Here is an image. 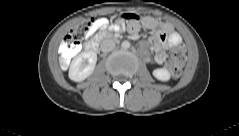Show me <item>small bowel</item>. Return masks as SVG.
<instances>
[{"label":"small bowel","instance_id":"obj_1","mask_svg":"<svg viewBox=\"0 0 239 136\" xmlns=\"http://www.w3.org/2000/svg\"><path fill=\"white\" fill-rule=\"evenodd\" d=\"M130 21V20H129ZM107 22L105 20H96L95 29L100 26H106ZM144 29L151 30L153 33L149 38L152 49L155 51V60L159 64H163L167 58V53L164 47L176 46L181 43V37L178 33L173 31L172 26L169 23H160L156 19L150 16H146L142 19L141 24L132 23L129 24L127 29L129 33L133 36H137L140 27ZM124 24L122 21H117L115 24L110 25L111 30L120 31L124 29Z\"/></svg>","mask_w":239,"mask_h":136}]
</instances>
